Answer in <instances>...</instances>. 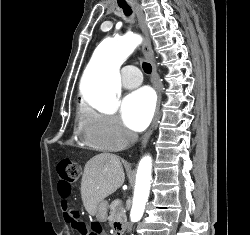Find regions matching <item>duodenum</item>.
Here are the masks:
<instances>
[{
	"label": "duodenum",
	"instance_id": "obj_1",
	"mask_svg": "<svg viewBox=\"0 0 250 235\" xmlns=\"http://www.w3.org/2000/svg\"><path fill=\"white\" fill-rule=\"evenodd\" d=\"M115 235H123V230L121 226L115 228Z\"/></svg>",
	"mask_w": 250,
	"mask_h": 235
}]
</instances>
